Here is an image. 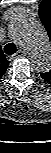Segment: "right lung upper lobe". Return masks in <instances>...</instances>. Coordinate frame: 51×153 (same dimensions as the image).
<instances>
[{"label": "right lung upper lobe", "instance_id": "right-lung-upper-lobe-1", "mask_svg": "<svg viewBox=\"0 0 51 153\" xmlns=\"http://www.w3.org/2000/svg\"><path fill=\"white\" fill-rule=\"evenodd\" d=\"M9 62L6 60L2 49L0 48V78L4 75L6 69L8 68Z\"/></svg>", "mask_w": 51, "mask_h": 153}]
</instances>
